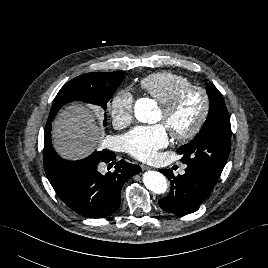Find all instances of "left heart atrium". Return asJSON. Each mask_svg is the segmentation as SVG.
I'll list each match as a JSON object with an SVG mask.
<instances>
[{
  "label": "left heart atrium",
  "instance_id": "left-heart-atrium-1",
  "mask_svg": "<svg viewBox=\"0 0 268 268\" xmlns=\"http://www.w3.org/2000/svg\"><path fill=\"white\" fill-rule=\"evenodd\" d=\"M125 151L142 161H153L158 151L168 144V132L163 124L137 126L123 137Z\"/></svg>",
  "mask_w": 268,
  "mask_h": 268
}]
</instances>
